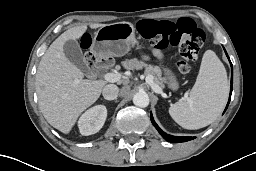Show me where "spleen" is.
<instances>
[{
  "instance_id": "spleen-1",
  "label": "spleen",
  "mask_w": 256,
  "mask_h": 171,
  "mask_svg": "<svg viewBox=\"0 0 256 171\" xmlns=\"http://www.w3.org/2000/svg\"><path fill=\"white\" fill-rule=\"evenodd\" d=\"M229 93L227 73L215 52L207 50L189 98L169 108L174 121L185 129H200L214 122L222 113Z\"/></svg>"
}]
</instances>
